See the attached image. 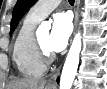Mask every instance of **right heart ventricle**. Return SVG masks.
Returning a JSON list of instances; mask_svg holds the SVG:
<instances>
[{
	"label": "right heart ventricle",
	"instance_id": "e07e8e85",
	"mask_svg": "<svg viewBox=\"0 0 107 89\" xmlns=\"http://www.w3.org/2000/svg\"><path fill=\"white\" fill-rule=\"evenodd\" d=\"M39 20L29 14L24 18L13 44V61L25 77L36 78L44 74L46 66L38 59L34 46L35 28Z\"/></svg>",
	"mask_w": 107,
	"mask_h": 89
}]
</instances>
